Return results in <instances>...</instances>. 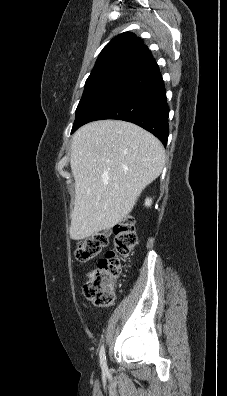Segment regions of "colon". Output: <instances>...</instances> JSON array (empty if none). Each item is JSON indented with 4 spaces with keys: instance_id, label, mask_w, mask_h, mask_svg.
Listing matches in <instances>:
<instances>
[{
    "instance_id": "obj_1",
    "label": "colon",
    "mask_w": 227,
    "mask_h": 396,
    "mask_svg": "<svg viewBox=\"0 0 227 396\" xmlns=\"http://www.w3.org/2000/svg\"><path fill=\"white\" fill-rule=\"evenodd\" d=\"M114 249L106 253L97 267L90 271L84 285L86 297L99 307H109L115 299V286L121 275V257L128 256L137 241L132 218L122 220L113 229ZM109 234L96 233L81 241L75 251L76 259L85 262L98 256L108 245Z\"/></svg>"
}]
</instances>
